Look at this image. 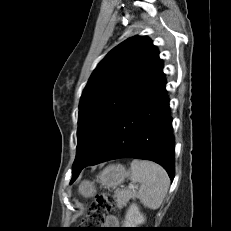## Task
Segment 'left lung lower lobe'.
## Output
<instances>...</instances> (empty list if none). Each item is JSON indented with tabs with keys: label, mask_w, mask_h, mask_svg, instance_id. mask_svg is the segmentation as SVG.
<instances>
[{
	"label": "left lung lower lobe",
	"mask_w": 231,
	"mask_h": 231,
	"mask_svg": "<svg viewBox=\"0 0 231 231\" xmlns=\"http://www.w3.org/2000/svg\"><path fill=\"white\" fill-rule=\"evenodd\" d=\"M166 79L161 59L115 115L85 164L73 170L71 183L81 170L118 158L154 161L174 177V135Z\"/></svg>",
	"instance_id": "0a47b994"
}]
</instances>
